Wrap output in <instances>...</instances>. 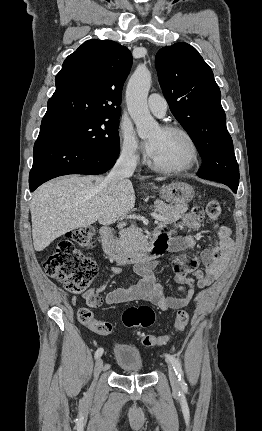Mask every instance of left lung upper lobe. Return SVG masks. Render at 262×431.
I'll return each instance as SVG.
<instances>
[{
    "mask_svg": "<svg viewBox=\"0 0 262 431\" xmlns=\"http://www.w3.org/2000/svg\"><path fill=\"white\" fill-rule=\"evenodd\" d=\"M155 65L172 114L202 157L204 165L198 175L238 187L239 167L211 68L184 42L161 48Z\"/></svg>",
    "mask_w": 262,
    "mask_h": 431,
    "instance_id": "obj_1",
    "label": "left lung upper lobe"
}]
</instances>
